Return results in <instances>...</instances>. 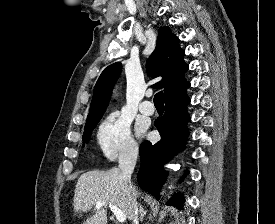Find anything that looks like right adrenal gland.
Wrapping results in <instances>:
<instances>
[{
  "label": "right adrenal gland",
  "mask_w": 275,
  "mask_h": 224,
  "mask_svg": "<svg viewBox=\"0 0 275 224\" xmlns=\"http://www.w3.org/2000/svg\"><path fill=\"white\" fill-rule=\"evenodd\" d=\"M138 212H139V220L143 221L144 216L146 215V211L143 209V207H142L141 204H139V210H138Z\"/></svg>",
  "instance_id": "right-adrenal-gland-1"
}]
</instances>
